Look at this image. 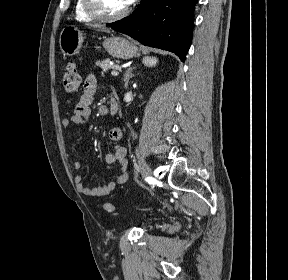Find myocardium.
<instances>
[{
	"label": "myocardium",
	"instance_id": "obj_1",
	"mask_svg": "<svg viewBox=\"0 0 288 280\" xmlns=\"http://www.w3.org/2000/svg\"><path fill=\"white\" fill-rule=\"evenodd\" d=\"M83 5L86 10V12L97 20L102 21H115L124 18L128 12L129 9L126 7L123 11L117 13V14H106L102 11V9L99 6V3L97 0H83Z\"/></svg>",
	"mask_w": 288,
	"mask_h": 280
}]
</instances>
